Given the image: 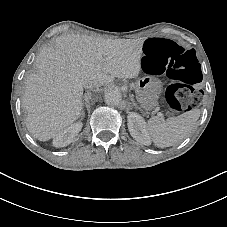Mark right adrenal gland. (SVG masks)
<instances>
[{
	"label": "right adrenal gland",
	"mask_w": 227,
	"mask_h": 227,
	"mask_svg": "<svg viewBox=\"0 0 227 227\" xmlns=\"http://www.w3.org/2000/svg\"><path fill=\"white\" fill-rule=\"evenodd\" d=\"M84 115H85V113H84V111H82V113H81V120L84 118Z\"/></svg>",
	"instance_id": "obj_1"
}]
</instances>
